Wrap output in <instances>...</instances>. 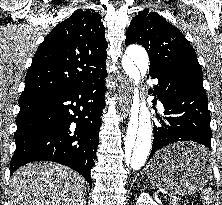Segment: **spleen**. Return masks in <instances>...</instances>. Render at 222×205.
I'll return each mask as SVG.
<instances>
[{
    "label": "spleen",
    "instance_id": "3e777b00",
    "mask_svg": "<svg viewBox=\"0 0 222 205\" xmlns=\"http://www.w3.org/2000/svg\"><path fill=\"white\" fill-rule=\"evenodd\" d=\"M211 190L210 189H206L204 190L203 194H202V199H204L207 203L210 202L211 200Z\"/></svg>",
    "mask_w": 222,
    "mask_h": 205
}]
</instances>
